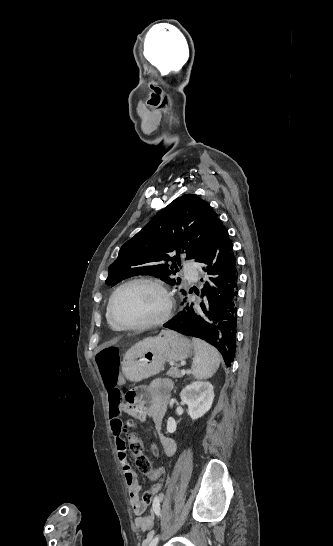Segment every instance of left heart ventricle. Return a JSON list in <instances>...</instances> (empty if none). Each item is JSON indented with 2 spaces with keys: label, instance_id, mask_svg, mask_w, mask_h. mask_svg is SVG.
Wrapping results in <instances>:
<instances>
[{
  "label": "left heart ventricle",
  "instance_id": "b2bd125f",
  "mask_svg": "<svg viewBox=\"0 0 333 546\" xmlns=\"http://www.w3.org/2000/svg\"><path fill=\"white\" fill-rule=\"evenodd\" d=\"M165 308V298L155 286L143 283L125 287L116 297L114 315L124 325H137L153 320Z\"/></svg>",
  "mask_w": 333,
  "mask_h": 546
}]
</instances>
